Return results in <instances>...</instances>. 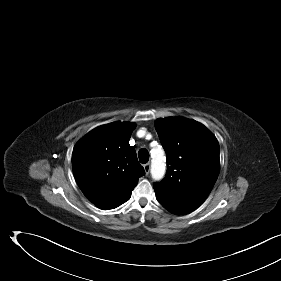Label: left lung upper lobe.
Returning <instances> with one entry per match:
<instances>
[{
	"label": "left lung upper lobe",
	"instance_id": "left-lung-upper-lobe-1",
	"mask_svg": "<svg viewBox=\"0 0 281 281\" xmlns=\"http://www.w3.org/2000/svg\"><path fill=\"white\" fill-rule=\"evenodd\" d=\"M155 128L168 167L164 180L153 185L156 195L202 204L220 170L216 137L203 124L180 117L157 120Z\"/></svg>",
	"mask_w": 281,
	"mask_h": 281
}]
</instances>
